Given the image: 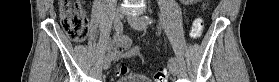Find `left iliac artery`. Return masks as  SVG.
<instances>
[{
  "instance_id": "left-iliac-artery-1",
  "label": "left iliac artery",
  "mask_w": 279,
  "mask_h": 82,
  "mask_svg": "<svg viewBox=\"0 0 279 82\" xmlns=\"http://www.w3.org/2000/svg\"><path fill=\"white\" fill-rule=\"evenodd\" d=\"M142 19H143L146 23H153V22H155V20H154L152 17H149V16H143ZM169 61L175 63L177 60H176V58L171 57V58L169 59Z\"/></svg>"
}]
</instances>
